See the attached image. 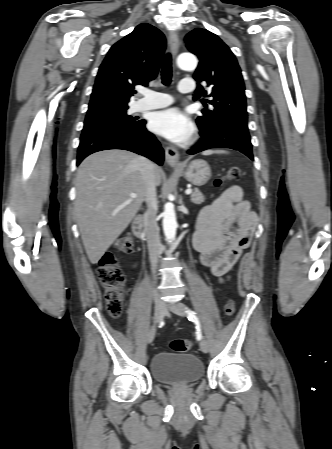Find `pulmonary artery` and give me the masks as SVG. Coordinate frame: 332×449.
Segmentation results:
<instances>
[{
	"label": "pulmonary artery",
	"mask_w": 332,
	"mask_h": 449,
	"mask_svg": "<svg viewBox=\"0 0 332 449\" xmlns=\"http://www.w3.org/2000/svg\"><path fill=\"white\" fill-rule=\"evenodd\" d=\"M178 90L181 93H190L193 91V87L189 80H183L179 83ZM143 95L144 97L137 101L135 105V109L138 111L166 107L173 102L169 94L162 92L146 91Z\"/></svg>",
	"instance_id": "1"
}]
</instances>
